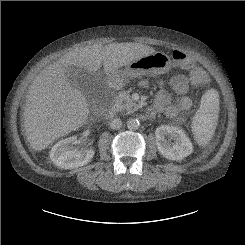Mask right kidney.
<instances>
[{
	"label": "right kidney",
	"instance_id": "ca27d5eb",
	"mask_svg": "<svg viewBox=\"0 0 245 245\" xmlns=\"http://www.w3.org/2000/svg\"><path fill=\"white\" fill-rule=\"evenodd\" d=\"M77 143V137L72 136L57 142L50 151L52 162L63 169H73L88 164L95 152L93 149L74 148Z\"/></svg>",
	"mask_w": 245,
	"mask_h": 245
}]
</instances>
